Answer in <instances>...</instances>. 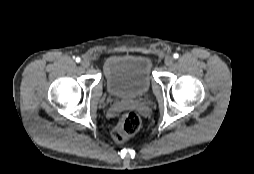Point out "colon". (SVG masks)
<instances>
[{
    "mask_svg": "<svg viewBox=\"0 0 254 174\" xmlns=\"http://www.w3.org/2000/svg\"><path fill=\"white\" fill-rule=\"evenodd\" d=\"M140 127V117L134 112H127L113 129V139L119 143L125 142L130 137L134 136L140 130Z\"/></svg>",
    "mask_w": 254,
    "mask_h": 174,
    "instance_id": "1",
    "label": "colon"
}]
</instances>
